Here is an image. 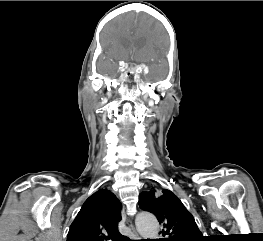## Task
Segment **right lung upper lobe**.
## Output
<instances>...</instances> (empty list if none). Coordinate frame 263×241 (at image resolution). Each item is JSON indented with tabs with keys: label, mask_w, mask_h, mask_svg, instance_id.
<instances>
[{
	"label": "right lung upper lobe",
	"mask_w": 263,
	"mask_h": 241,
	"mask_svg": "<svg viewBox=\"0 0 263 241\" xmlns=\"http://www.w3.org/2000/svg\"><path fill=\"white\" fill-rule=\"evenodd\" d=\"M121 204L107 189L91 195L72 222L67 241H129L118 231Z\"/></svg>",
	"instance_id": "right-lung-upper-lobe-1"
}]
</instances>
